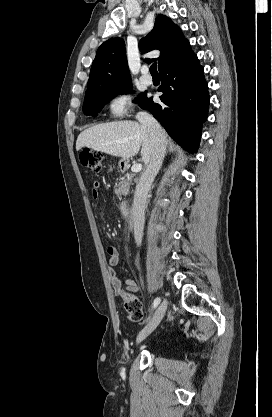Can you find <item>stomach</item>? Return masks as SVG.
I'll list each match as a JSON object with an SVG mask.
<instances>
[{"instance_id":"stomach-1","label":"stomach","mask_w":272,"mask_h":417,"mask_svg":"<svg viewBox=\"0 0 272 417\" xmlns=\"http://www.w3.org/2000/svg\"><path fill=\"white\" fill-rule=\"evenodd\" d=\"M127 164V159H121L120 161H119V166L120 167H123V166H125Z\"/></svg>"}]
</instances>
